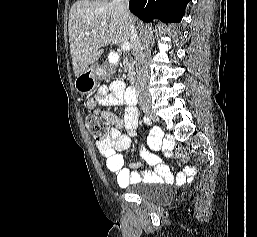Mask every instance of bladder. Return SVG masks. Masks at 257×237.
<instances>
[{"label": "bladder", "instance_id": "31cf9c89", "mask_svg": "<svg viewBox=\"0 0 257 237\" xmlns=\"http://www.w3.org/2000/svg\"><path fill=\"white\" fill-rule=\"evenodd\" d=\"M147 183V182H145ZM135 194L142 197V198H147L153 201H161L164 199L163 196H150L146 191L142 190V189H137L135 190Z\"/></svg>", "mask_w": 257, "mask_h": 237}]
</instances>
